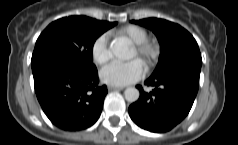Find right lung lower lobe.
<instances>
[{
    "label": "right lung lower lobe",
    "mask_w": 238,
    "mask_h": 145,
    "mask_svg": "<svg viewBox=\"0 0 238 145\" xmlns=\"http://www.w3.org/2000/svg\"><path fill=\"white\" fill-rule=\"evenodd\" d=\"M37 99L48 119L64 131L92 126L100 117L105 85H98L97 68L63 58L32 62Z\"/></svg>",
    "instance_id": "obj_1"
}]
</instances>
